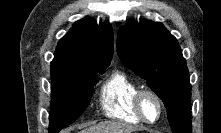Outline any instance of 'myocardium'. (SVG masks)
<instances>
[{"mask_svg":"<svg viewBox=\"0 0 221 133\" xmlns=\"http://www.w3.org/2000/svg\"><path fill=\"white\" fill-rule=\"evenodd\" d=\"M146 98H152L158 106V115H157L156 119H154V120H150L146 116V113L144 110V101ZM133 105H134V110H135L137 116L140 118V120L142 122L147 123V124L158 123L164 114L163 100L160 97V95L152 89H147V88L140 89L134 97Z\"/></svg>","mask_w":221,"mask_h":133,"instance_id":"1","label":"myocardium"}]
</instances>
